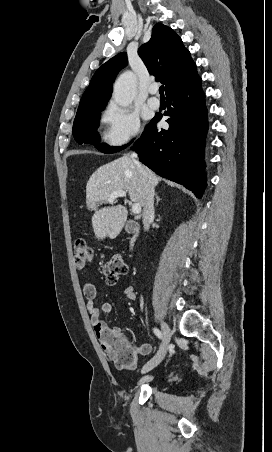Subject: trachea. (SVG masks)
Masks as SVG:
<instances>
[{"label":"trachea","instance_id":"3493384b","mask_svg":"<svg viewBox=\"0 0 272 452\" xmlns=\"http://www.w3.org/2000/svg\"><path fill=\"white\" fill-rule=\"evenodd\" d=\"M159 93L161 97H164V86H160Z\"/></svg>","mask_w":272,"mask_h":452}]
</instances>
